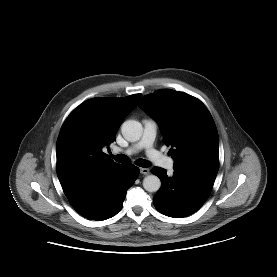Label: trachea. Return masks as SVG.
Segmentation results:
<instances>
[{"label": "trachea", "instance_id": "trachea-1", "mask_svg": "<svg viewBox=\"0 0 277 277\" xmlns=\"http://www.w3.org/2000/svg\"><path fill=\"white\" fill-rule=\"evenodd\" d=\"M111 158H113L116 162H119V163H128L129 162V158L124 154H118V155L111 154ZM136 165H138L140 167H149L150 163L145 159H138L136 161Z\"/></svg>", "mask_w": 277, "mask_h": 277}]
</instances>
